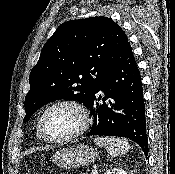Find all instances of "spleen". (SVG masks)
<instances>
[{
    "mask_svg": "<svg viewBox=\"0 0 175 174\" xmlns=\"http://www.w3.org/2000/svg\"><path fill=\"white\" fill-rule=\"evenodd\" d=\"M94 142L95 144L104 147L108 154L113 157L125 155L131 148L127 141L115 137H96Z\"/></svg>",
    "mask_w": 175,
    "mask_h": 174,
    "instance_id": "1",
    "label": "spleen"
}]
</instances>
